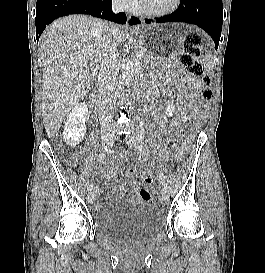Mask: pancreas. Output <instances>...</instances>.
I'll return each instance as SVG.
<instances>
[{"label": "pancreas", "mask_w": 265, "mask_h": 273, "mask_svg": "<svg viewBox=\"0 0 265 273\" xmlns=\"http://www.w3.org/2000/svg\"><path fill=\"white\" fill-rule=\"evenodd\" d=\"M139 52H141L143 55L141 56L140 60L142 63H144L145 65H148L149 63H153L155 62L157 59L154 58L153 56H151L145 49L140 48ZM160 60V59H158ZM157 60V61H158ZM161 61V60H160Z\"/></svg>", "instance_id": "obj_1"}]
</instances>
